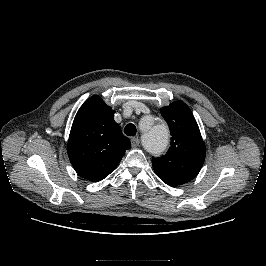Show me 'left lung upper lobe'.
<instances>
[{"label":"left lung upper lobe","mask_w":266,"mask_h":266,"mask_svg":"<svg viewBox=\"0 0 266 266\" xmlns=\"http://www.w3.org/2000/svg\"><path fill=\"white\" fill-rule=\"evenodd\" d=\"M161 114L169 125L171 146L164 156L152 158V165L157 176L174 187L197 176L205 160L206 146L193 113L184 102L161 108Z\"/></svg>","instance_id":"obj_1"}]
</instances>
